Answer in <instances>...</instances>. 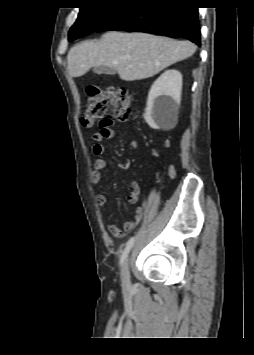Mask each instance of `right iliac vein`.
Segmentation results:
<instances>
[{
    "label": "right iliac vein",
    "mask_w": 254,
    "mask_h": 355,
    "mask_svg": "<svg viewBox=\"0 0 254 355\" xmlns=\"http://www.w3.org/2000/svg\"><path fill=\"white\" fill-rule=\"evenodd\" d=\"M121 279L124 286H128L129 283V260L126 259L123 263L121 270Z\"/></svg>",
    "instance_id": "63e3f726"
}]
</instances>
